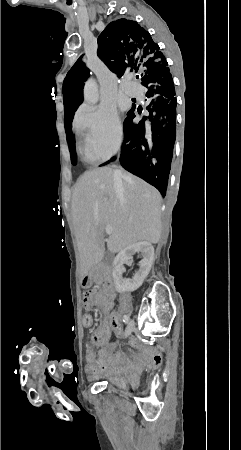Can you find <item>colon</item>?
<instances>
[{"label": "colon", "instance_id": "5ec220e1", "mask_svg": "<svg viewBox=\"0 0 241 450\" xmlns=\"http://www.w3.org/2000/svg\"><path fill=\"white\" fill-rule=\"evenodd\" d=\"M79 324L84 326V328L86 329L93 328V315L87 313H80Z\"/></svg>", "mask_w": 241, "mask_h": 450}]
</instances>
